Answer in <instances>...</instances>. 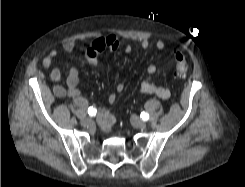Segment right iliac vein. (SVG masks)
Wrapping results in <instances>:
<instances>
[{
	"label": "right iliac vein",
	"instance_id": "obj_1",
	"mask_svg": "<svg viewBox=\"0 0 245 187\" xmlns=\"http://www.w3.org/2000/svg\"><path fill=\"white\" fill-rule=\"evenodd\" d=\"M81 123H82V125H84V126H88V125H90V124L92 123V120H91L90 118H83V119L81 120Z\"/></svg>",
	"mask_w": 245,
	"mask_h": 187
}]
</instances>
